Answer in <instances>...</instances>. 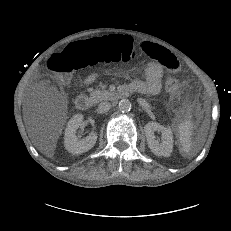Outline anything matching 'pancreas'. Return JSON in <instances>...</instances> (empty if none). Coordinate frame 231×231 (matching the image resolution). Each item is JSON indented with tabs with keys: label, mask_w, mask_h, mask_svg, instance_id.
<instances>
[{
	"label": "pancreas",
	"mask_w": 231,
	"mask_h": 231,
	"mask_svg": "<svg viewBox=\"0 0 231 231\" xmlns=\"http://www.w3.org/2000/svg\"><path fill=\"white\" fill-rule=\"evenodd\" d=\"M90 96L95 102H100L103 100H108L114 93L107 91V90H100V89H90Z\"/></svg>",
	"instance_id": "obj_1"
}]
</instances>
